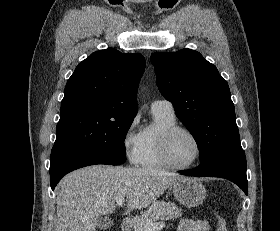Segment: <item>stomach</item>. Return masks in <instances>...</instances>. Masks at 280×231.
Masks as SVG:
<instances>
[{
  "label": "stomach",
  "mask_w": 280,
  "mask_h": 231,
  "mask_svg": "<svg viewBox=\"0 0 280 231\" xmlns=\"http://www.w3.org/2000/svg\"><path fill=\"white\" fill-rule=\"evenodd\" d=\"M172 191L175 199L186 207H197L206 197L204 185L193 177H179L173 183Z\"/></svg>",
  "instance_id": "obj_1"
}]
</instances>
